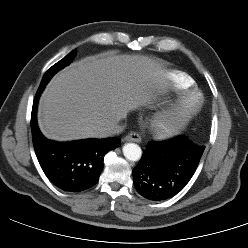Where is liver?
<instances>
[{"label":"liver","instance_id":"6515ba94","mask_svg":"<svg viewBox=\"0 0 248 248\" xmlns=\"http://www.w3.org/2000/svg\"><path fill=\"white\" fill-rule=\"evenodd\" d=\"M165 85L161 66L149 57L89 56L50 81L39 104V127L59 141L106 137L110 125L151 103Z\"/></svg>","mask_w":248,"mask_h":248}]
</instances>
